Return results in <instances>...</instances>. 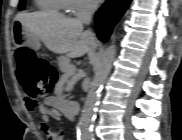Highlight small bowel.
<instances>
[{
    "label": "small bowel",
    "instance_id": "obj_1",
    "mask_svg": "<svg viewBox=\"0 0 182 140\" xmlns=\"http://www.w3.org/2000/svg\"><path fill=\"white\" fill-rule=\"evenodd\" d=\"M26 108L29 111L37 110L40 113V121L38 123L39 130L47 137V140H62L60 131L55 130L50 125V114L48 108L43 103H32L27 98L25 99Z\"/></svg>",
    "mask_w": 182,
    "mask_h": 140
}]
</instances>
